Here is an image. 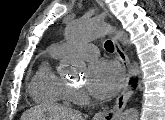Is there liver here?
I'll return each mask as SVG.
<instances>
[{"label": "liver", "instance_id": "6515ba94", "mask_svg": "<svg viewBox=\"0 0 165 120\" xmlns=\"http://www.w3.org/2000/svg\"><path fill=\"white\" fill-rule=\"evenodd\" d=\"M48 107H34L23 113L21 120H40ZM57 120H83L81 113L70 108H50Z\"/></svg>", "mask_w": 165, "mask_h": 120}]
</instances>
